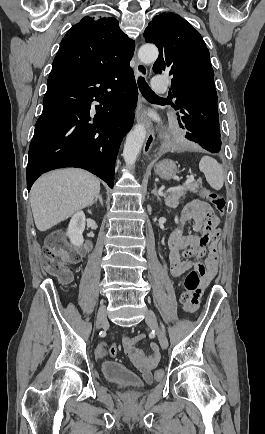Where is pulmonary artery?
<instances>
[{
    "label": "pulmonary artery",
    "mask_w": 265,
    "mask_h": 434,
    "mask_svg": "<svg viewBox=\"0 0 265 434\" xmlns=\"http://www.w3.org/2000/svg\"><path fill=\"white\" fill-rule=\"evenodd\" d=\"M151 83L152 84H164L165 83V76L164 75H152L151 76Z\"/></svg>",
    "instance_id": "pulmonary-artery-1"
}]
</instances>
